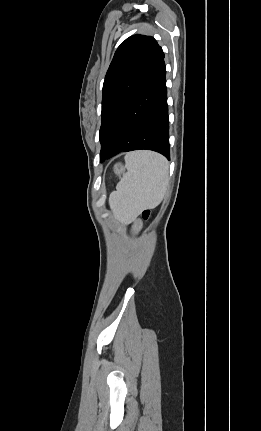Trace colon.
<instances>
[{
  "mask_svg": "<svg viewBox=\"0 0 261 431\" xmlns=\"http://www.w3.org/2000/svg\"><path fill=\"white\" fill-rule=\"evenodd\" d=\"M143 217H144V219H148L150 217V211H144Z\"/></svg>",
  "mask_w": 261,
  "mask_h": 431,
  "instance_id": "5ec220e1",
  "label": "colon"
}]
</instances>
